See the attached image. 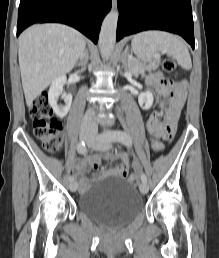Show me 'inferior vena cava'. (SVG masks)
Wrapping results in <instances>:
<instances>
[{"instance_id": "602c4592", "label": "inferior vena cava", "mask_w": 219, "mask_h": 258, "mask_svg": "<svg viewBox=\"0 0 219 258\" xmlns=\"http://www.w3.org/2000/svg\"><path fill=\"white\" fill-rule=\"evenodd\" d=\"M85 56V55H84ZM83 57V55L81 56V58ZM94 110L93 109H89L84 118H83V121H82V125H81V128L83 130H86V131H89V132H92V133H95L97 132V124L94 120Z\"/></svg>"}]
</instances>
